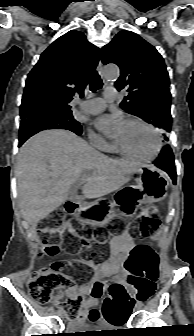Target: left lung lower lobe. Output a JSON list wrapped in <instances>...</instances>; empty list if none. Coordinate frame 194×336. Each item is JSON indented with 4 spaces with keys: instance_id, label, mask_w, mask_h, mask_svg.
<instances>
[{
    "instance_id": "0a47b994",
    "label": "left lung lower lobe",
    "mask_w": 194,
    "mask_h": 336,
    "mask_svg": "<svg viewBox=\"0 0 194 336\" xmlns=\"http://www.w3.org/2000/svg\"><path fill=\"white\" fill-rule=\"evenodd\" d=\"M155 165L166 171L172 178L173 182L176 183V168L174 164V156L169 146H166L162 149L159 155V159L155 162Z\"/></svg>"
}]
</instances>
